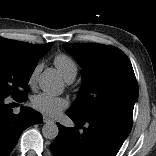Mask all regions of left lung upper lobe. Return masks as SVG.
<instances>
[{
  "label": "left lung upper lobe",
  "mask_w": 156,
  "mask_h": 156,
  "mask_svg": "<svg viewBox=\"0 0 156 156\" xmlns=\"http://www.w3.org/2000/svg\"><path fill=\"white\" fill-rule=\"evenodd\" d=\"M63 46L83 68L82 87L69 111L91 114L114 109L133 114L138 85L124 52L97 43H65Z\"/></svg>",
  "instance_id": "left-lung-upper-lobe-1"
}]
</instances>
